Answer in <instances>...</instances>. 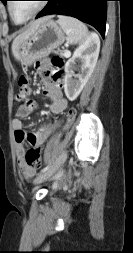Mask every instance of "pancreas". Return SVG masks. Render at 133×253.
Wrapping results in <instances>:
<instances>
[{"mask_svg": "<svg viewBox=\"0 0 133 253\" xmlns=\"http://www.w3.org/2000/svg\"><path fill=\"white\" fill-rule=\"evenodd\" d=\"M60 54V56H63V54L62 53H59Z\"/></svg>", "mask_w": 133, "mask_h": 253, "instance_id": "pancreas-1", "label": "pancreas"}]
</instances>
